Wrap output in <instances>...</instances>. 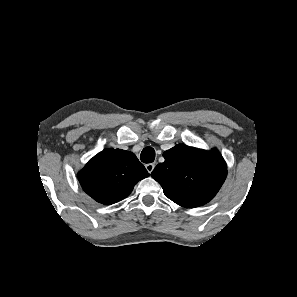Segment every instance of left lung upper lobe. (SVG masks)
I'll return each instance as SVG.
<instances>
[{"mask_svg": "<svg viewBox=\"0 0 297 297\" xmlns=\"http://www.w3.org/2000/svg\"><path fill=\"white\" fill-rule=\"evenodd\" d=\"M151 176L164 194L185 208L202 206L219 191L227 176L226 163L217 149L205 151L176 145L163 153Z\"/></svg>", "mask_w": 297, "mask_h": 297, "instance_id": "obj_1", "label": "left lung upper lobe"}]
</instances>
